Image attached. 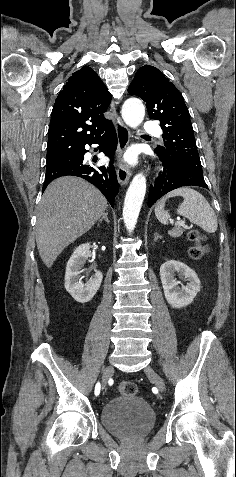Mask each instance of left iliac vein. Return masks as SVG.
I'll return each instance as SVG.
<instances>
[{
	"instance_id": "obj_1",
	"label": "left iliac vein",
	"mask_w": 236,
	"mask_h": 477,
	"mask_svg": "<svg viewBox=\"0 0 236 477\" xmlns=\"http://www.w3.org/2000/svg\"><path fill=\"white\" fill-rule=\"evenodd\" d=\"M145 374L161 392L165 390V383L163 379L151 366H147L145 368Z\"/></svg>"
}]
</instances>
